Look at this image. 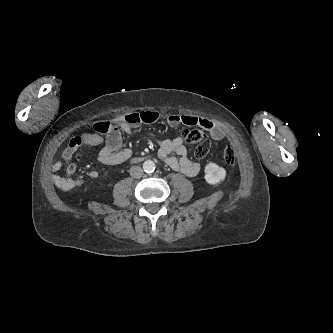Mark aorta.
<instances>
[{
    "instance_id": "1",
    "label": "aorta",
    "mask_w": 333,
    "mask_h": 333,
    "mask_svg": "<svg viewBox=\"0 0 333 333\" xmlns=\"http://www.w3.org/2000/svg\"><path fill=\"white\" fill-rule=\"evenodd\" d=\"M143 169L146 173H153L155 171V163L152 160H146L143 163Z\"/></svg>"
}]
</instances>
